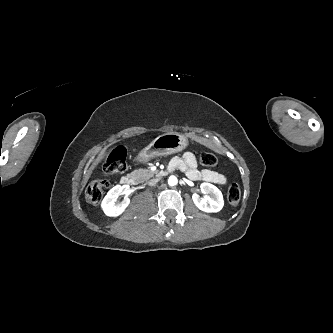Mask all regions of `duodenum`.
I'll return each mask as SVG.
<instances>
[{"instance_id": "obj_1", "label": "duodenum", "mask_w": 333, "mask_h": 333, "mask_svg": "<svg viewBox=\"0 0 333 333\" xmlns=\"http://www.w3.org/2000/svg\"><path fill=\"white\" fill-rule=\"evenodd\" d=\"M174 169H175L174 167H172L171 165H169L167 169L161 170L159 172V174L161 176H164V175H166L167 173H169L170 171H172ZM121 183L123 185H130V186H132V185L136 184V178H135V176L133 174H127V175H124L121 178Z\"/></svg>"}]
</instances>
